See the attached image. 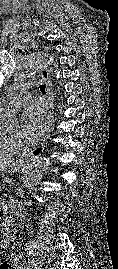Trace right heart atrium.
<instances>
[{"mask_svg":"<svg viewBox=\"0 0 118 269\" xmlns=\"http://www.w3.org/2000/svg\"><path fill=\"white\" fill-rule=\"evenodd\" d=\"M0 138L16 147L17 149H20L26 144V137L22 132L18 130H0Z\"/></svg>","mask_w":118,"mask_h":269,"instance_id":"1","label":"right heart atrium"}]
</instances>
